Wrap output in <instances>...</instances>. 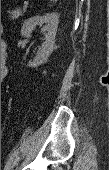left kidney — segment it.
I'll return each mask as SVG.
<instances>
[{"mask_svg":"<svg viewBox=\"0 0 109 170\" xmlns=\"http://www.w3.org/2000/svg\"><path fill=\"white\" fill-rule=\"evenodd\" d=\"M59 22L57 13H48L43 16H35L24 22L21 35L30 37L32 31L39 25H44L45 41L38 50L36 57L29 63V67H38L45 63L49 55L52 53L55 44V36Z\"/></svg>","mask_w":109,"mask_h":170,"instance_id":"obj_1","label":"left kidney"}]
</instances>
